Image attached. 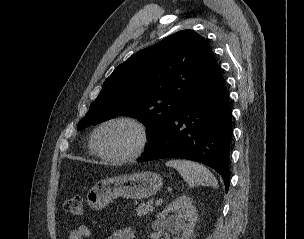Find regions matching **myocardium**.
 Wrapping results in <instances>:
<instances>
[{
    "instance_id": "myocardium-1",
    "label": "myocardium",
    "mask_w": 304,
    "mask_h": 239,
    "mask_svg": "<svg viewBox=\"0 0 304 239\" xmlns=\"http://www.w3.org/2000/svg\"><path fill=\"white\" fill-rule=\"evenodd\" d=\"M116 123H124L134 127L138 135L137 143L135 147L127 153L119 155L106 154L99 148L97 144V136L101 129L108 125ZM148 142L149 132L146 124L138 118L129 115H118L104 120L94 129L90 138L91 149L97 156L106 161L117 163L127 162L139 157L146 149Z\"/></svg>"
}]
</instances>
